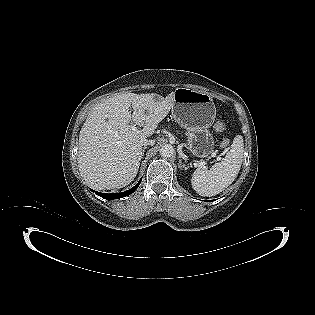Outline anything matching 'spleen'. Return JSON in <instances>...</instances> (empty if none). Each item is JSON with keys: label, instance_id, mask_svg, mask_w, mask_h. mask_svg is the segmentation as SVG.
<instances>
[{"label": "spleen", "instance_id": "spleen-1", "mask_svg": "<svg viewBox=\"0 0 315 315\" xmlns=\"http://www.w3.org/2000/svg\"><path fill=\"white\" fill-rule=\"evenodd\" d=\"M243 137L237 135L223 161L209 170L199 166L191 179L192 188L201 196H215L225 190L237 177L243 161Z\"/></svg>", "mask_w": 315, "mask_h": 315}]
</instances>
